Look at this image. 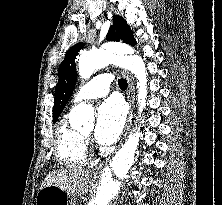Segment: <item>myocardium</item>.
I'll return each instance as SVG.
<instances>
[{"instance_id":"1","label":"myocardium","mask_w":222,"mask_h":205,"mask_svg":"<svg viewBox=\"0 0 222 205\" xmlns=\"http://www.w3.org/2000/svg\"><path fill=\"white\" fill-rule=\"evenodd\" d=\"M81 136H82L85 140H89V136H88V135L81 134Z\"/></svg>"}]
</instances>
